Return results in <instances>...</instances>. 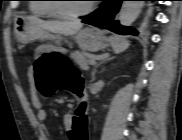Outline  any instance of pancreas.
I'll return each mask as SVG.
<instances>
[{"label":"pancreas","mask_w":182,"mask_h":140,"mask_svg":"<svg viewBox=\"0 0 182 140\" xmlns=\"http://www.w3.org/2000/svg\"><path fill=\"white\" fill-rule=\"evenodd\" d=\"M70 56L81 69L86 70L88 68L89 61L84 52L74 51Z\"/></svg>","instance_id":"cf45deb5"}]
</instances>
